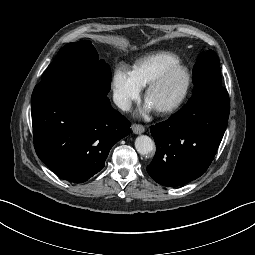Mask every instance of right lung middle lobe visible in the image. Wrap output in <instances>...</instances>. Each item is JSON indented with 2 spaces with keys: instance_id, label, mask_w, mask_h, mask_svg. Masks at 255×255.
I'll list each match as a JSON object with an SVG mask.
<instances>
[{
  "instance_id": "dd1d6c3e",
  "label": "right lung middle lobe",
  "mask_w": 255,
  "mask_h": 255,
  "mask_svg": "<svg viewBox=\"0 0 255 255\" xmlns=\"http://www.w3.org/2000/svg\"><path fill=\"white\" fill-rule=\"evenodd\" d=\"M71 81L107 95L111 88L109 66L99 60L90 41L69 43L60 49L42 76V81Z\"/></svg>"
}]
</instances>
